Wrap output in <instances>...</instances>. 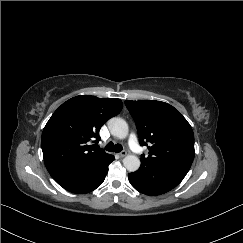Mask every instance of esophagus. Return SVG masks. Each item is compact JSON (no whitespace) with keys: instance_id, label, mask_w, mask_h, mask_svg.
Segmentation results:
<instances>
[{"instance_id":"34e87169","label":"esophagus","mask_w":243,"mask_h":243,"mask_svg":"<svg viewBox=\"0 0 243 243\" xmlns=\"http://www.w3.org/2000/svg\"><path fill=\"white\" fill-rule=\"evenodd\" d=\"M126 155H127V151H125V150H123V151H121V152L119 153V156H120L121 158L125 157Z\"/></svg>"}]
</instances>
